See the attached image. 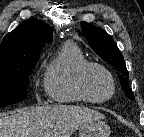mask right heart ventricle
I'll return each mask as SVG.
<instances>
[{"label":"right heart ventricle","mask_w":144,"mask_h":137,"mask_svg":"<svg viewBox=\"0 0 144 137\" xmlns=\"http://www.w3.org/2000/svg\"><path fill=\"white\" fill-rule=\"evenodd\" d=\"M80 48L73 42L64 43L45 67L43 86L50 101L58 104H79L84 100L75 87L80 67L87 63Z\"/></svg>","instance_id":"obj_1"}]
</instances>
